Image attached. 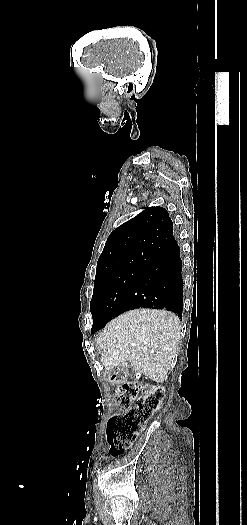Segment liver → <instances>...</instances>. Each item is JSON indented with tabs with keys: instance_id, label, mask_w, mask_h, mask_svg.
I'll list each match as a JSON object with an SVG mask.
<instances>
[{
	"instance_id": "obj_1",
	"label": "liver",
	"mask_w": 247,
	"mask_h": 525,
	"mask_svg": "<svg viewBox=\"0 0 247 525\" xmlns=\"http://www.w3.org/2000/svg\"><path fill=\"white\" fill-rule=\"evenodd\" d=\"M180 331V319L171 311H126L98 335L100 361L107 371L129 361L134 371L163 383L176 363Z\"/></svg>"
}]
</instances>
